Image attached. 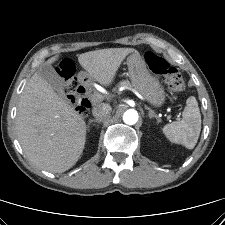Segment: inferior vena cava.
Returning <instances> with one entry per match:
<instances>
[{
    "mask_svg": "<svg viewBox=\"0 0 225 225\" xmlns=\"http://www.w3.org/2000/svg\"><path fill=\"white\" fill-rule=\"evenodd\" d=\"M111 111L112 108L109 104L101 103L93 107L92 114L95 118L103 120L110 115Z\"/></svg>",
    "mask_w": 225,
    "mask_h": 225,
    "instance_id": "obj_1",
    "label": "inferior vena cava"
}]
</instances>
